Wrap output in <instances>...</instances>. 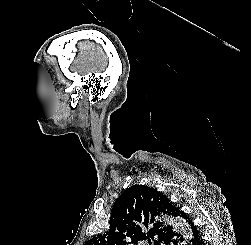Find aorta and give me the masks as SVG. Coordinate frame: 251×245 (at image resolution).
I'll list each match as a JSON object with an SVG mask.
<instances>
[{"label":"aorta","mask_w":251,"mask_h":245,"mask_svg":"<svg viewBox=\"0 0 251 245\" xmlns=\"http://www.w3.org/2000/svg\"><path fill=\"white\" fill-rule=\"evenodd\" d=\"M166 221L168 224L173 225V227H175L176 230H180L182 232H185L186 234L189 233V228L186 225V223H184L183 221L179 220V219H173V218H166Z\"/></svg>","instance_id":"762f6f07"}]
</instances>
